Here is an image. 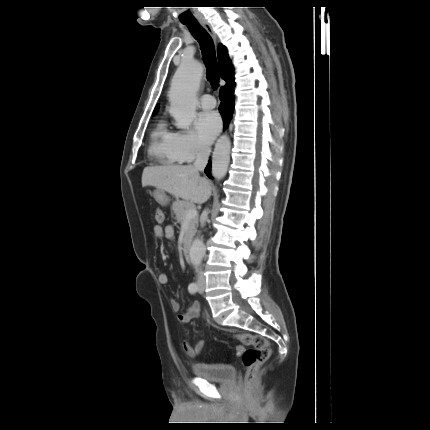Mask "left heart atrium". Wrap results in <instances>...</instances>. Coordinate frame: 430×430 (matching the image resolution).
Instances as JSON below:
<instances>
[{
    "mask_svg": "<svg viewBox=\"0 0 430 430\" xmlns=\"http://www.w3.org/2000/svg\"><path fill=\"white\" fill-rule=\"evenodd\" d=\"M221 129V119L216 112H203L196 121V130L200 141L206 145L212 143Z\"/></svg>",
    "mask_w": 430,
    "mask_h": 430,
    "instance_id": "1",
    "label": "left heart atrium"
}]
</instances>
